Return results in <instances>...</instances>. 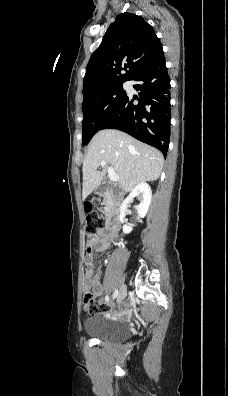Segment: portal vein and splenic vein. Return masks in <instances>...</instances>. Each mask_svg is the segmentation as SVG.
<instances>
[{"instance_id": "portal-vein-and-splenic-vein-1", "label": "portal vein and splenic vein", "mask_w": 228, "mask_h": 396, "mask_svg": "<svg viewBox=\"0 0 228 396\" xmlns=\"http://www.w3.org/2000/svg\"><path fill=\"white\" fill-rule=\"evenodd\" d=\"M100 166H101V167H104V166H105V162L102 161V162L100 163ZM107 171H108V176H109V178H110V180H111L112 182H117V181H119V175L115 173V171H114V169H113L112 167H108V170H107Z\"/></svg>"}]
</instances>
